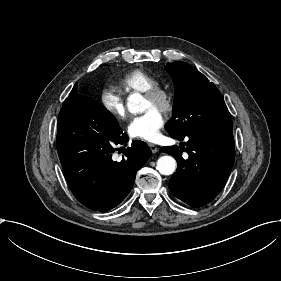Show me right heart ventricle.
<instances>
[{"instance_id":"e07e8e85","label":"right heart ventricle","mask_w":281,"mask_h":281,"mask_svg":"<svg viewBox=\"0 0 281 281\" xmlns=\"http://www.w3.org/2000/svg\"><path fill=\"white\" fill-rule=\"evenodd\" d=\"M158 85L156 79L143 68H135L126 73L118 82L125 93H147Z\"/></svg>"}]
</instances>
